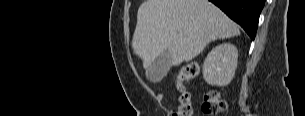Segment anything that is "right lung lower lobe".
I'll list each match as a JSON object with an SVG mask.
<instances>
[{
    "label": "right lung lower lobe",
    "instance_id": "1",
    "mask_svg": "<svg viewBox=\"0 0 305 116\" xmlns=\"http://www.w3.org/2000/svg\"><path fill=\"white\" fill-rule=\"evenodd\" d=\"M217 5L232 20L237 22L246 33L255 38L259 15L265 0H209Z\"/></svg>",
    "mask_w": 305,
    "mask_h": 116
}]
</instances>
